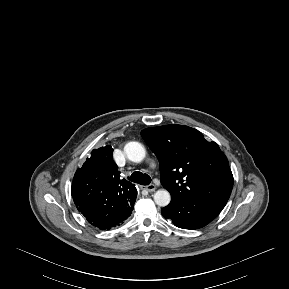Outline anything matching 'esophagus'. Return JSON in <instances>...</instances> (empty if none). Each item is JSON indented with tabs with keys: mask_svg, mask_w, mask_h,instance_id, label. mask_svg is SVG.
<instances>
[{
	"mask_svg": "<svg viewBox=\"0 0 289 289\" xmlns=\"http://www.w3.org/2000/svg\"><path fill=\"white\" fill-rule=\"evenodd\" d=\"M145 190H147L148 192H153L156 189V186L154 184H149L147 186L144 187Z\"/></svg>",
	"mask_w": 289,
	"mask_h": 289,
	"instance_id": "34e87169",
	"label": "esophagus"
}]
</instances>
